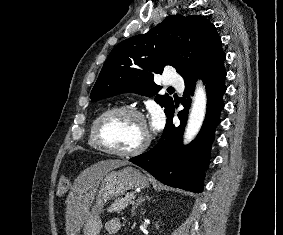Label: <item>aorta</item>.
Masks as SVG:
<instances>
[{"instance_id": "762f6f07", "label": "aorta", "mask_w": 283, "mask_h": 235, "mask_svg": "<svg viewBox=\"0 0 283 235\" xmlns=\"http://www.w3.org/2000/svg\"><path fill=\"white\" fill-rule=\"evenodd\" d=\"M207 96L202 83H198L194 93L191 111L184 133V143L191 142L199 133L206 114Z\"/></svg>"}]
</instances>
